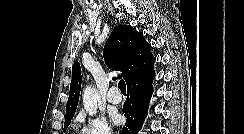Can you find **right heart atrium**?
<instances>
[{
    "label": "right heart atrium",
    "instance_id": "1",
    "mask_svg": "<svg viewBox=\"0 0 244 134\" xmlns=\"http://www.w3.org/2000/svg\"><path fill=\"white\" fill-rule=\"evenodd\" d=\"M79 121L83 124L82 134H114L104 117L85 118L80 115Z\"/></svg>",
    "mask_w": 244,
    "mask_h": 134
}]
</instances>
